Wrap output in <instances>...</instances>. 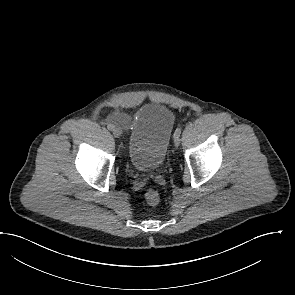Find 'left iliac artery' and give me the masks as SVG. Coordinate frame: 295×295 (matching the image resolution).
Instances as JSON below:
<instances>
[{"label": "left iliac artery", "mask_w": 295, "mask_h": 295, "mask_svg": "<svg viewBox=\"0 0 295 295\" xmlns=\"http://www.w3.org/2000/svg\"><path fill=\"white\" fill-rule=\"evenodd\" d=\"M181 131H182V128H181V127H178V128L175 130L174 137H175V136H180Z\"/></svg>", "instance_id": "obj_1"}]
</instances>
